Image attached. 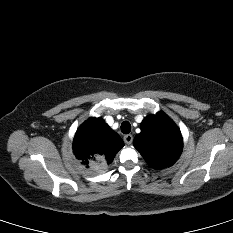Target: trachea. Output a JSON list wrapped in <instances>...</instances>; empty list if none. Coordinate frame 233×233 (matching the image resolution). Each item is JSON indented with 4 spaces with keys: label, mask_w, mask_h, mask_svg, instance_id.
Returning <instances> with one entry per match:
<instances>
[{
    "label": "trachea",
    "mask_w": 233,
    "mask_h": 233,
    "mask_svg": "<svg viewBox=\"0 0 233 233\" xmlns=\"http://www.w3.org/2000/svg\"><path fill=\"white\" fill-rule=\"evenodd\" d=\"M121 131L123 134H128L131 131V124L128 121H124L121 124Z\"/></svg>",
    "instance_id": "3493384b"
}]
</instances>
